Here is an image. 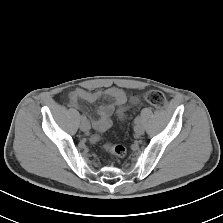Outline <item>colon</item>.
Segmentation results:
<instances>
[{"label":"colon","instance_id":"1","mask_svg":"<svg viewBox=\"0 0 223 223\" xmlns=\"http://www.w3.org/2000/svg\"><path fill=\"white\" fill-rule=\"evenodd\" d=\"M144 98L148 104H150L152 107L157 108V109H162L166 105V98L159 91H155V90L148 91L145 93ZM93 139L98 140L99 136H94ZM106 149L118 157L125 156L127 152L125 146L123 145L107 144Z\"/></svg>","mask_w":223,"mask_h":223}]
</instances>
